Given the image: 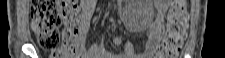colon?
<instances>
[{
    "label": "colon",
    "mask_w": 225,
    "mask_h": 58,
    "mask_svg": "<svg viewBox=\"0 0 225 58\" xmlns=\"http://www.w3.org/2000/svg\"><path fill=\"white\" fill-rule=\"evenodd\" d=\"M32 27L42 49L53 58H76L78 9L70 0H32ZM188 12L185 1H173L166 34L159 47L162 58H176L185 38Z\"/></svg>",
    "instance_id": "1"
}]
</instances>
